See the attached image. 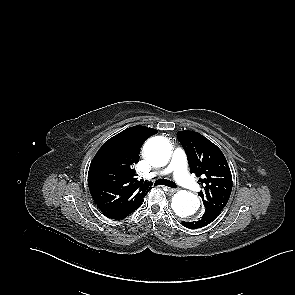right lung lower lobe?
I'll return each mask as SVG.
<instances>
[{
    "label": "right lung lower lobe",
    "mask_w": 295,
    "mask_h": 295,
    "mask_svg": "<svg viewBox=\"0 0 295 295\" xmlns=\"http://www.w3.org/2000/svg\"><path fill=\"white\" fill-rule=\"evenodd\" d=\"M134 211V210H133ZM133 211H129V212H127V213H124V214H118V215H106V216H108L109 218H111V219H116V220H118V219H123V218H125V217H127L129 214H131Z\"/></svg>",
    "instance_id": "obj_1"
}]
</instances>
